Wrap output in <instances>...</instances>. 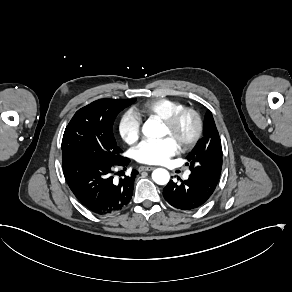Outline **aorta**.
<instances>
[{
	"instance_id": "aorta-1",
	"label": "aorta",
	"mask_w": 292,
	"mask_h": 292,
	"mask_svg": "<svg viewBox=\"0 0 292 292\" xmlns=\"http://www.w3.org/2000/svg\"><path fill=\"white\" fill-rule=\"evenodd\" d=\"M142 134L149 138H162L166 135L165 128L160 122L152 119L143 124ZM152 179L158 185H166L170 180V175L166 169L157 168L152 173Z\"/></svg>"
}]
</instances>
